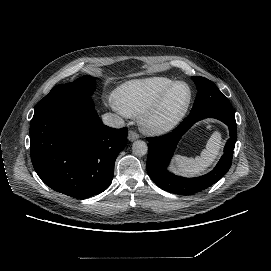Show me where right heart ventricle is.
Segmentation results:
<instances>
[{
	"label": "right heart ventricle",
	"mask_w": 271,
	"mask_h": 271,
	"mask_svg": "<svg viewBox=\"0 0 271 271\" xmlns=\"http://www.w3.org/2000/svg\"><path fill=\"white\" fill-rule=\"evenodd\" d=\"M175 80L152 76L123 84L116 92L121 112L136 117L144 114Z\"/></svg>",
	"instance_id": "right-heart-ventricle-1"
}]
</instances>
